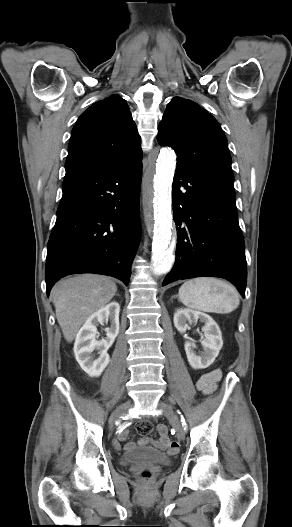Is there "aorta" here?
<instances>
[{"mask_svg":"<svg viewBox=\"0 0 292 527\" xmlns=\"http://www.w3.org/2000/svg\"><path fill=\"white\" fill-rule=\"evenodd\" d=\"M175 167L174 151L163 149L156 164H151L146 171L143 180L144 199L153 208L152 260L157 275L169 272L174 261L171 247V188Z\"/></svg>","mask_w":292,"mask_h":527,"instance_id":"obj_1","label":"aorta"}]
</instances>
